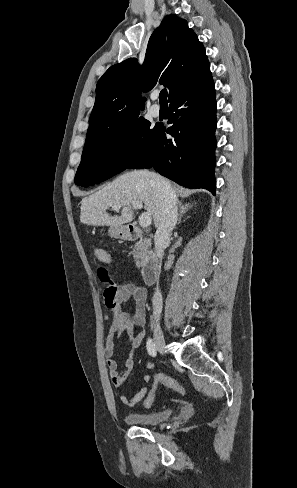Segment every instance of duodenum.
Segmentation results:
<instances>
[{"label":"duodenum","instance_id":"410a0bca","mask_svg":"<svg viewBox=\"0 0 297 488\" xmlns=\"http://www.w3.org/2000/svg\"><path fill=\"white\" fill-rule=\"evenodd\" d=\"M142 232L135 226H127L123 231V236L126 240H135L141 236ZM160 269V262L154 253L148 254L141 267V275L147 284L155 281Z\"/></svg>","mask_w":297,"mask_h":488}]
</instances>
